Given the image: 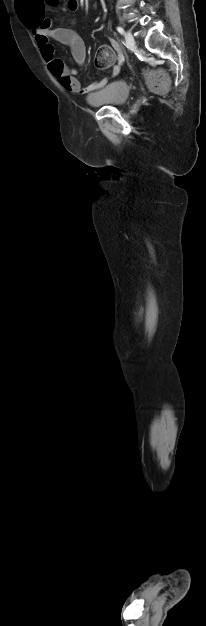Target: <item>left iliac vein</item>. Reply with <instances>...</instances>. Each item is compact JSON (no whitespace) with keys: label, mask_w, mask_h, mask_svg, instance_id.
Listing matches in <instances>:
<instances>
[{"label":"left iliac vein","mask_w":206,"mask_h":626,"mask_svg":"<svg viewBox=\"0 0 206 626\" xmlns=\"http://www.w3.org/2000/svg\"><path fill=\"white\" fill-rule=\"evenodd\" d=\"M125 40L126 43L128 45V47L130 48V50H134L135 49V40L134 37L132 35V33L130 31H127L125 33Z\"/></svg>","instance_id":"left-iliac-vein-1"}]
</instances>
